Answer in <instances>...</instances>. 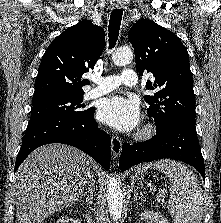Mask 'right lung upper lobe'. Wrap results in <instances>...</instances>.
I'll use <instances>...</instances> for the list:
<instances>
[{
	"label": "right lung upper lobe",
	"mask_w": 221,
	"mask_h": 223,
	"mask_svg": "<svg viewBox=\"0 0 221 223\" xmlns=\"http://www.w3.org/2000/svg\"><path fill=\"white\" fill-rule=\"evenodd\" d=\"M105 47L102 27L84 20L69 27L49 45L35 80L32 103L84 93L82 75L93 68Z\"/></svg>",
	"instance_id": "obj_1"
}]
</instances>
